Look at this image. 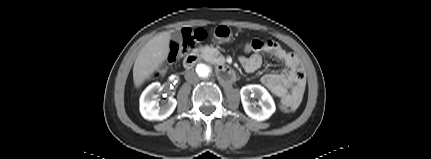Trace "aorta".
I'll return each mask as SVG.
<instances>
[{
    "label": "aorta",
    "mask_w": 431,
    "mask_h": 159,
    "mask_svg": "<svg viewBox=\"0 0 431 159\" xmlns=\"http://www.w3.org/2000/svg\"><path fill=\"white\" fill-rule=\"evenodd\" d=\"M196 72L201 78H208L211 75L212 68L209 64L199 63L196 66Z\"/></svg>",
    "instance_id": "aorta-1"
}]
</instances>
